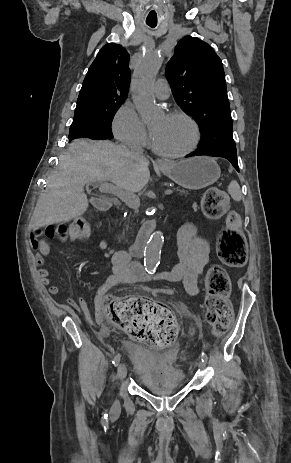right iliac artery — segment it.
Listing matches in <instances>:
<instances>
[{
	"mask_svg": "<svg viewBox=\"0 0 291 463\" xmlns=\"http://www.w3.org/2000/svg\"><path fill=\"white\" fill-rule=\"evenodd\" d=\"M119 362H120V355L118 354V355H116L114 357L112 363H113L114 366H118ZM101 423H102V425L104 427L107 424V415L106 414H104V417H102Z\"/></svg>",
	"mask_w": 291,
	"mask_h": 463,
	"instance_id": "1",
	"label": "right iliac artery"
}]
</instances>
